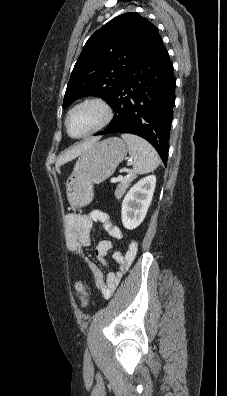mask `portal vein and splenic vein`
Listing matches in <instances>:
<instances>
[{"mask_svg": "<svg viewBox=\"0 0 227 396\" xmlns=\"http://www.w3.org/2000/svg\"><path fill=\"white\" fill-rule=\"evenodd\" d=\"M122 179H123V176H122V175H119L118 178H117L118 181H120V180H122Z\"/></svg>", "mask_w": 227, "mask_h": 396, "instance_id": "1", "label": "portal vein and splenic vein"}]
</instances>
